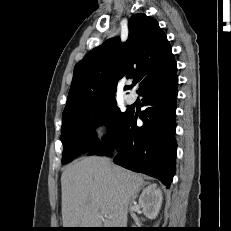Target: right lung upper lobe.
<instances>
[{
	"label": "right lung upper lobe",
	"instance_id": "obj_1",
	"mask_svg": "<svg viewBox=\"0 0 231 231\" xmlns=\"http://www.w3.org/2000/svg\"><path fill=\"white\" fill-rule=\"evenodd\" d=\"M126 42L106 40L91 50L74 68L64 114L96 107L115 100L121 66L138 77L141 91L146 85L176 74L172 49L158 22L145 14H134L128 23ZM129 89L125 86L124 90Z\"/></svg>",
	"mask_w": 231,
	"mask_h": 231
}]
</instances>
